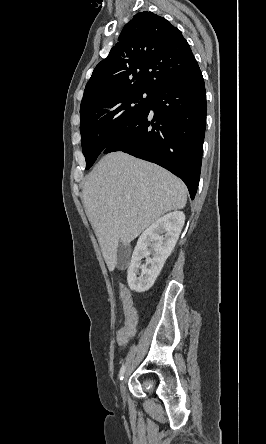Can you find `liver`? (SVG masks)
<instances>
[{
	"label": "liver",
	"instance_id": "6515ba94",
	"mask_svg": "<svg viewBox=\"0 0 266 444\" xmlns=\"http://www.w3.org/2000/svg\"><path fill=\"white\" fill-rule=\"evenodd\" d=\"M83 205L109 271L117 249L187 202L183 182L160 166L123 152L105 155L83 187ZM129 197V198H127Z\"/></svg>",
	"mask_w": 266,
	"mask_h": 444
}]
</instances>
